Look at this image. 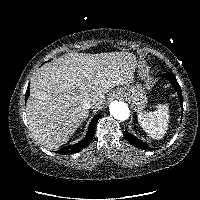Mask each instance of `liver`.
Masks as SVG:
<instances>
[{
	"label": "liver",
	"instance_id": "6515ba94",
	"mask_svg": "<svg viewBox=\"0 0 200 200\" xmlns=\"http://www.w3.org/2000/svg\"><path fill=\"white\" fill-rule=\"evenodd\" d=\"M136 66L129 52H73L42 66L31 79L26 106L33 137L49 149L65 144L89 115L82 101L90 98L99 108L105 93L131 83Z\"/></svg>",
	"mask_w": 200,
	"mask_h": 200
}]
</instances>
